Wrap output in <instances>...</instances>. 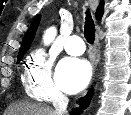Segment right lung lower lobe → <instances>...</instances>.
<instances>
[{
  "label": "right lung lower lobe",
  "instance_id": "98d812e1",
  "mask_svg": "<svg viewBox=\"0 0 131 115\" xmlns=\"http://www.w3.org/2000/svg\"><path fill=\"white\" fill-rule=\"evenodd\" d=\"M91 94H92V92L89 91L87 97L84 98V99H82V100H84V103H81V108L78 109V110H77V109L72 110L71 115H80L81 110H82L83 108H85V107L89 104Z\"/></svg>",
  "mask_w": 131,
  "mask_h": 115
}]
</instances>
